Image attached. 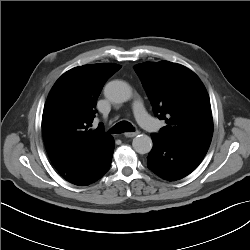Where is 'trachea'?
Here are the masks:
<instances>
[{
    "instance_id": "trachea-1",
    "label": "trachea",
    "mask_w": 250,
    "mask_h": 250,
    "mask_svg": "<svg viewBox=\"0 0 250 250\" xmlns=\"http://www.w3.org/2000/svg\"><path fill=\"white\" fill-rule=\"evenodd\" d=\"M134 131H135V129L130 122L121 121V122L115 124L110 129L109 132L113 133V134H120V133H124V132H134Z\"/></svg>"
}]
</instances>
